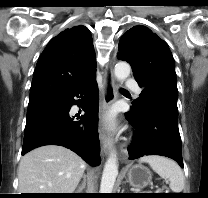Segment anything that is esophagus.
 I'll use <instances>...</instances> for the list:
<instances>
[{
	"label": "esophagus",
	"mask_w": 208,
	"mask_h": 198,
	"mask_svg": "<svg viewBox=\"0 0 208 198\" xmlns=\"http://www.w3.org/2000/svg\"><path fill=\"white\" fill-rule=\"evenodd\" d=\"M117 85L114 79L112 65L106 68L103 89H102V106L100 109L101 120L103 121L107 110L116 99ZM100 140L104 154L108 155L114 149L113 138L107 133L105 127L100 128Z\"/></svg>",
	"instance_id": "obj_1"
}]
</instances>
